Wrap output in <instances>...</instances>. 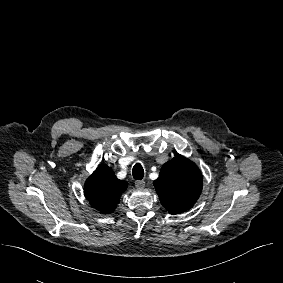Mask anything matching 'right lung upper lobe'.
Masks as SVG:
<instances>
[{
    "instance_id": "obj_1",
    "label": "right lung upper lobe",
    "mask_w": 283,
    "mask_h": 283,
    "mask_svg": "<svg viewBox=\"0 0 283 283\" xmlns=\"http://www.w3.org/2000/svg\"><path fill=\"white\" fill-rule=\"evenodd\" d=\"M127 186L126 181L116 178L109 166L100 165L86 180L84 193L93 208L108 214L115 210Z\"/></svg>"
}]
</instances>
